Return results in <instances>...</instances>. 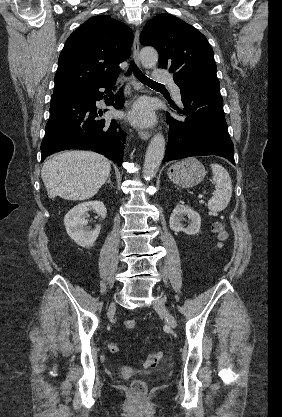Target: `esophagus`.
Segmentation results:
<instances>
[{
	"instance_id": "obj_1",
	"label": "esophagus",
	"mask_w": 282,
	"mask_h": 417,
	"mask_svg": "<svg viewBox=\"0 0 282 417\" xmlns=\"http://www.w3.org/2000/svg\"><path fill=\"white\" fill-rule=\"evenodd\" d=\"M133 58L136 65L140 68V58H139V30L137 29L134 35V41H133ZM132 87L133 90H140L143 88L142 83H140L137 78L133 75L132 76ZM138 136L142 140H148L151 137V132L149 130H146L145 128H139L138 130Z\"/></svg>"
}]
</instances>
